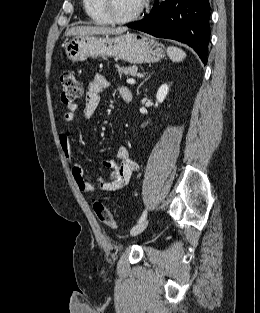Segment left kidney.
I'll list each match as a JSON object with an SVG mask.
<instances>
[{
	"instance_id": "left-kidney-1",
	"label": "left kidney",
	"mask_w": 260,
	"mask_h": 313,
	"mask_svg": "<svg viewBox=\"0 0 260 313\" xmlns=\"http://www.w3.org/2000/svg\"><path fill=\"white\" fill-rule=\"evenodd\" d=\"M169 92V86L167 84L161 85V87L158 89L157 94H156V99L159 103H162L167 94Z\"/></svg>"
}]
</instances>
